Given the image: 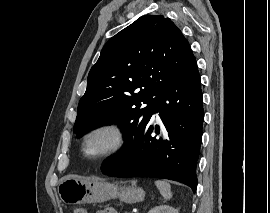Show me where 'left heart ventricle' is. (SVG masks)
I'll list each match as a JSON object with an SVG mask.
<instances>
[{
    "mask_svg": "<svg viewBox=\"0 0 270 213\" xmlns=\"http://www.w3.org/2000/svg\"><path fill=\"white\" fill-rule=\"evenodd\" d=\"M108 143V137L99 135L92 138L87 144V150L90 153L100 152Z\"/></svg>",
    "mask_w": 270,
    "mask_h": 213,
    "instance_id": "1",
    "label": "left heart ventricle"
}]
</instances>
